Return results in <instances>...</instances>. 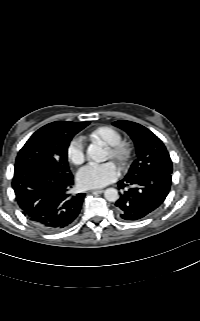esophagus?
<instances>
[{"label": "esophagus", "instance_id": "1", "mask_svg": "<svg viewBox=\"0 0 200 321\" xmlns=\"http://www.w3.org/2000/svg\"><path fill=\"white\" fill-rule=\"evenodd\" d=\"M92 193H103L104 190L103 189H95L91 191Z\"/></svg>", "mask_w": 200, "mask_h": 321}]
</instances>
